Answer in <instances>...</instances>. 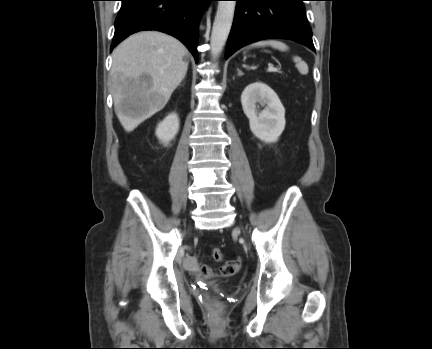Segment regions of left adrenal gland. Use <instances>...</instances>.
Listing matches in <instances>:
<instances>
[{"label":"left adrenal gland","mask_w":432,"mask_h":349,"mask_svg":"<svg viewBox=\"0 0 432 349\" xmlns=\"http://www.w3.org/2000/svg\"><path fill=\"white\" fill-rule=\"evenodd\" d=\"M237 71H238V76H242L243 75V72L240 70V69H237Z\"/></svg>","instance_id":"a2214340"}]
</instances>
